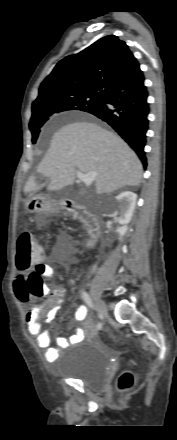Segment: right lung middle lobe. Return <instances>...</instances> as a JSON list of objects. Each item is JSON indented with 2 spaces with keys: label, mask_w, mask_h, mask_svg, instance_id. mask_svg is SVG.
<instances>
[{
  "label": "right lung middle lobe",
  "mask_w": 177,
  "mask_h": 440,
  "mask_svg": "<svg viewBox=\"0 0 177 440\" xmlns=\"http://www.w3.org/2000/svg\"><path fill=\"white\" fill-rule=\"evenodd\" d=\"M102 97L103 94H70L56 98L42 106L32 108V117L29 123L32 142H36L40 128L50 116L68 110L87 111L98 105Z\"/></svg>",
  "instance_id": "1"
}]
</instances>
